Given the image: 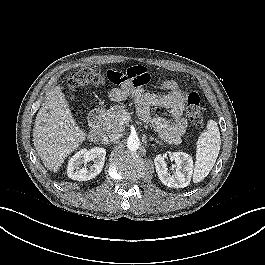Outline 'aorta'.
<instances>
[{
  "label": "aorta",
  "mask_w": 265,
  "mask_h": 265,
  "mask_svg": "<svg viewBox=\"0 0 265 265\" xmlns=\"http://www.w3.org/2000/svg\"><path fill=\"white\" fill-rule=\"evenodd\" d=\"M140 146V140L136 136H131L127 140V148L131 151H136L138 150Z\"/></svg>",
  "instance_id": "obj_1"
}]
</instances>
